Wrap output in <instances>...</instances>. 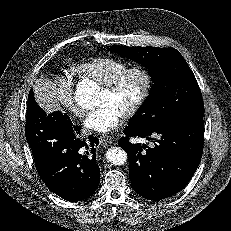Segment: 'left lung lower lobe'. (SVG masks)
I'll return each instance as SVG.
<instances>
[{"label": "left lung lower lobe", "instance_id": "obj_1", "mask_svg": "<svg viewBox=\"0 0 231 231\" xmlns=\"http://www.w3.org/2000/svg\"><path fill=\"white\" fill-rule=\"evenodd\" d=\"M125 137L119 139L130 164L129 177L133 189L140 196L158 201L182 190L191 180L203 152V118L169 127L132 129L126 127ZM152 140L153 148L142 150L128 137ZM157 137V138H152Z\"/></svg>", "mask_w": 231, "mask_h": 231}]
</instances>
